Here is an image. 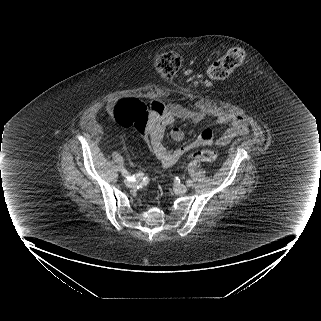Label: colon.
<instances>
[{"label":"colon","instance_id":"colon-1","mask_svg":"<svg viewBox=\"0 0 321 321\" xmlns=\"http://www.w3.org/2000/svg\"><path fill=\"white\" fill-rule=\"evenodd\" d=\"M245 50L241 47L230 49L223 57L215 61L207 70L211 79L218 80L228 77L245 60ZM181 57L175 52H165L155 59V68L164 78H172L179 71ZM115 122L124 129L135 128L144 131L149 120L147 106L137 99L121 101L114 109ZM212 139H207L210 143ZM196 160L214 162L217 154L212 150H199L192 156Z\"/></svg>","mask_w":321,"mask_h":321}]
</instances>
